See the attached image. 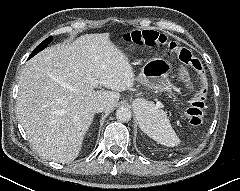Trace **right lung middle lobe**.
I'll return each instance as SVG.
<instances>
[{"label":"right lung middle lobe","mask_w":240,"mask_h":191,"mask_svg":"<svg viewBox=\"0 0 240 191\" xmlns=\"http://www.w3.org/2000/svg\"><path fill=\"white\" fill-rule=\"evenodd\" d=\"M52 41V37H48L45 39L40 45H38L34 51L31 53L29 58L33 57L35 54H37L39 51L43 50L50 42Z\"/></svg>","instance_id":"obj_1"}]
</instances>
